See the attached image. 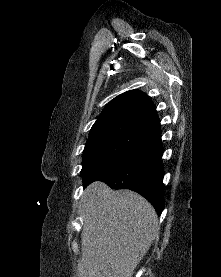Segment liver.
Listing matches in <instances>:
<instances>
[{
    "mask_svg": "<svg viewBox=\"0 0 221 277\" xmlns=\"http://www.w3.org/2000/svg\"><path fill=\"white\" fill-rule=\"evenodd\" d=\"M82 256L77 277H132L159 234L153 206L130 190L103 182L83 193Z\"/></svg>",
    "mask_w": 221,
    "mask_h": 277,
    "instance_id": "1",
    "label": "liver"
}]
</instances>
